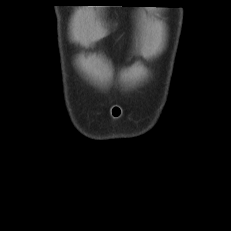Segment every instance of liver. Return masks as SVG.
<instances>
[{
    "label": "liver",
    "mask_w": 231,
    "mask_h": 231,
    "mask_svg": "<svg viewBox=\"0 0 231 231\" xmlns=\"http://www.w3.org/2000/svg\"><path fill=\"white\" fill-rule=\"evenodd\" d=\"M74 35L76 40L80 43H85L87 37L92 41H97L103 37V33L99 27L95 25L87 24L86 15L83 9H80L75 16V23H74Z\"/></svg>",
    "instance_id": "6515ba94"
}]
</instances>
